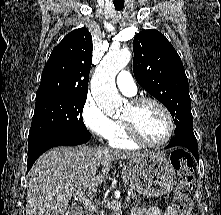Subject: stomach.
Listing matches in <instances>:
<instances>
[{
  "instance_id": "1",
  "label": "stomach",
  "mask_w": 221,
  "mask_h": 215,
  "mask_svg": "<svg viewBox=\"0 0 221 215\" xmlns=\"http://www.w3.org/2000/svg\"><path fill=\"white\" fill-rule=\"evenodd\" d=\"M122 178L131 188L147 198L167 195L175 185L173 165L159 153L131 159L123 167Z\"/></svg>"
}]
</instances>
